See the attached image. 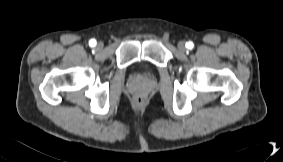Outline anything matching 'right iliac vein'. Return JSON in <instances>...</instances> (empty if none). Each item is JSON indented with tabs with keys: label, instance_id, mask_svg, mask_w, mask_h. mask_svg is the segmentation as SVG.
I'll use <instances>...</instances> for the list:
<instances>
[{
	"label": "right iliac vein",
	"instance_id": "right-iliac-vein-1",
	"mask_svg": "<svg viewBox=\"0 0 283 162\" xmlns=\"http://www.w3.org/2000/svg\"><path fill=\"white\" fill-rule=\"evenodd\" d=\"M96 47H97V49H102L103 48V43L99 42Z\"/></svg>",
	"mask_w": 283,
	"mask_h": 162
}]
</instances>
